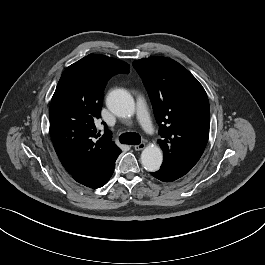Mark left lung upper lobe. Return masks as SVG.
<instances>
[{"instance_id":"left-lung-upper-lobe-1","label":"left lung upper lobe","mask_w":265,"mask_h":265,"mask_svg":"<svg viewBox=\"0 0 265 265\" xmlns=\"http://www.w3.org/2000/svg\"><path fill=\"white\" fill-rule=\"evenodd\" d=\"M133 66L149 93L160 126L163 150L160 172L173 180L187 174L200 159L209 137V102L195 77L165 57L136 60Z\"/></svg>"}]
</instances>
